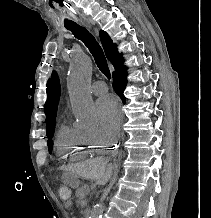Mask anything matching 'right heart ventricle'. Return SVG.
Here are the masks:
<instances>
[{
	"label": "right heart ventricle",
	"mask_w": 211,
	"mask_h": 218,
	"mask_svg": "<svg viewBox=\"0 0 211 218\" xmlns=\"http://www.w3.org/2000/svg\"><path fill=\"white\" fill-rule=\"evenodd\" d=\"M56 149L62 162H77V158L104 153L107 145H97L90 142L83 131L62 124L57 133Z\"/></svg>",
	"instance_id": "right-heart-ventricle-1"
}]
</instances>
